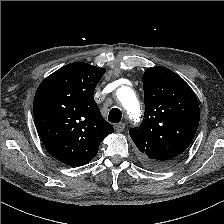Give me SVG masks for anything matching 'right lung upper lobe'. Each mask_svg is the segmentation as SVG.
<instances>
[{"instance_id": "cb5924a9", "label": "right lung upper lobe", "mask_w": 224, "mask_h": 224, "mask_svg": "<svg viewBox=\"0 0 224 224\" xmlns=\"http://www.w3.org/2000/svg\"><path fill=\"white\" fill-rule=\"evenodd\" d=\"M104 73V68L70 63L45 78L36 91L37 131L48 152L66 165L90 162L102 140L114 132L93 97Z\"/></svg>"}]
</instances>
